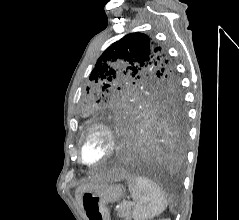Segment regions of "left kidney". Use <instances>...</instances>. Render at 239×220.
I'll return each instance as SVG.
<instances>
[{"label": "left kidney", "instance_id": "left-kidney-1", "mask_svg": "<svg viewBox=\"0 0 239 220\" xmlns=\"http://www.w3.org/2000/svg\"><path fill=\"white\" fill-rule=\"evenodd\" d=\"M161 220H170V219H161Z\"/></svg>", "mask_w": 239, "mask_h": 220}]
</instances>
